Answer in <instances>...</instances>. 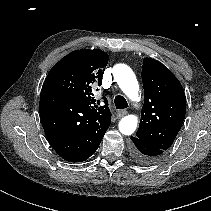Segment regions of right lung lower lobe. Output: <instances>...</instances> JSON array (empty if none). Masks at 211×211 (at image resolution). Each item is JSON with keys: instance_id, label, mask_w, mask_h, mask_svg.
I'll use <instances>...</instances> for the list:
<instances>
[{"instance_id": "obj_1", "label": "right lung lower lobe", "mask_w": 211, "mask_h": 211, "mask_svg": "<svg viewBox=\"0 0 211 211\" xmlns=\"http://www.w3.org/2000/svg\"><path fill=\"white\" fill-rule=\"evenodd\" d=\"M39 107L50 145L69 162L93 155L111 123L84 112L74 98L51 90L42 89Z\"/></svg>"}]
</instances>
